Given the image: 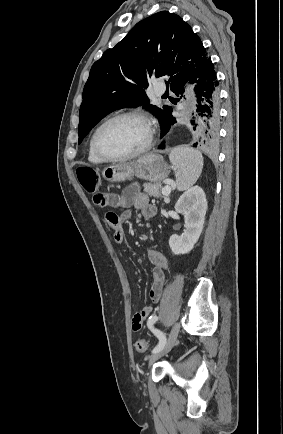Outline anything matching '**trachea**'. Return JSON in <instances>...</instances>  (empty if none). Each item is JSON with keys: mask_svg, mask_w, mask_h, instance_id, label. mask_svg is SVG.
Here are the masks:
<instances>
[{"mask_svg": "<svg viewBox=\"0 0 283 434\" xmlns=\"http://www.w3.org/2000/svg\"><path fill=\"white\" fill-rule=\"evenodd\" d=\"M168 93L166 92L163 96L167 95Z\"/></svg>", "mask_w": 283, "mask_h": 434, "instance_id": "obj_1", "label": "trachea"}]
</instances>
